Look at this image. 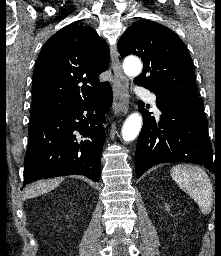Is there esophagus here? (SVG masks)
<instances>
[{
	"label": "esophagus",
	"mask_w": 221,
	"mask_h": 256,
	"mask_svg": "<svg viewBox=\"0 0 221 256\" xmlns=\"http://www.w3.org/2000/svg\"><path fill=\"white\" fill-rule=\"evenodd\" d=\"M111 65L115 76L113 110L115 115L126 114L129 109V82L123 74L116 46H111Z\"/></svg>",
	"instance_id": "1"
}]
</instances>
